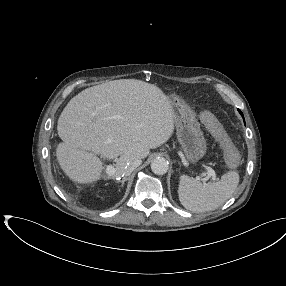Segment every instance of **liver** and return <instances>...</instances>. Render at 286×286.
<instances>
[{"instance_id":"obj_1","label":"liver","mask_w":286,"mask_h":286,"mask_svg":"<svg viewBox=\"0 0 286 286\" xmlns=\"http://www.w3.org/2000/svg\"><path fill=\"white\" fill-rule=\"evenodd\" d=\"M174 124L169 96L156 85L136 79L96 85L74 96L59 116L57 161L72 181L88 184L101 178L97 154L120 156L111 175L118 178L127 160L144 159L167 142Z\"/></svg>"}]
</instances>
